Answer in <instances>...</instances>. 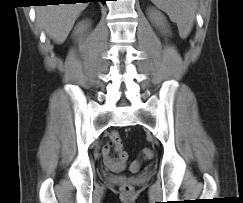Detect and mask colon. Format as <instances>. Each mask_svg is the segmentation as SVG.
<instances>
[{
	"label": "colon",
	"instance_id": "obj_1",
	"mask_svg": "<svg viewBox=\"0 0 243 203\" xmlns=\"http://www.w3.org/2000/svg\"><path fill=\"white\" fill-rule=\"evenodd\" d=\"M119 156L121 160H126L128 155L126 151H123L121 149ZM153 156V152L150 149H144L141 153V157L143 160H150L153 158ZM120 190L125 194H131L133 191V187L130 184L125 183L120 186Z\"/></svg>",
	"mask_w": 243,
	"mask_h": 203
}]
</instances>
